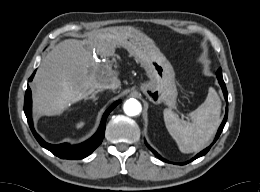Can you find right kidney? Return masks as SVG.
Instances as JSON below:
<instances>
[{
    "label": "right kidney",
    "mask_w": 260,
    "mask_h": 192,
    "mask_svg": "<svg viewBox=\"0 0 260 192\" xmlns=\"http://www.w3.org/2000/svg\"><path fill=\"white\" fill-rule=\"evenodd\" d=\"M82 125H83V123H79V124H78V127H81Z\"/></svg>",
    "instance_id": "ca27d5eb"
}]
</instances>
